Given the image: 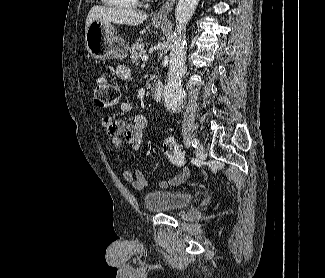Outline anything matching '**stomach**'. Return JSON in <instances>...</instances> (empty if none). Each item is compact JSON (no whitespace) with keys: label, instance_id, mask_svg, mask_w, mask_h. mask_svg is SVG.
Here are the masks:
<instances>
[{"label":"stomach","instance_id":"1","mask_svg":"<svg viewBox=\"0 0 325 278\" xmlns=\"http://www.w3.org/2000/svg\"><path fill=\"white\" fill-rule=\"evenodd\" d=\"M161 21H152L154 27H159ZM85 47L88 53L99 60L111 58L123 59L127 55L128 44L118 37L111 22L94 20L85 32Z\"/></svg>","mask_w":325,"mask_h":278}]
</instances>
